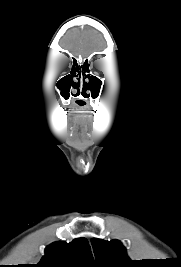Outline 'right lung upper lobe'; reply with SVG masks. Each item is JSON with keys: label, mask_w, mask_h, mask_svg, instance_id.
<instances>
[{"label": "right lung upper lobe", "mask_w": 181, "mask_h": 267, "mask_svg": "<svg viewBox=\"0 0 181 267\" xmlns=\"http://www.w3.org/2000/svg\"><path fill=\"white\" fill-rule=\"evenodd\" d=\"M92 255L85 238L74 239L71 243L58 241L45 249V256L36 267H91Z\"/></svg>", "instance_id": "1"}]
</instances>
